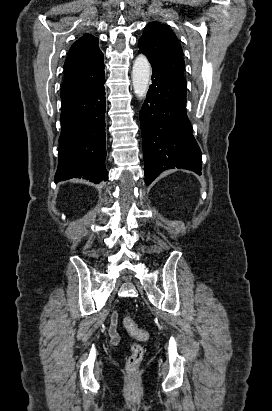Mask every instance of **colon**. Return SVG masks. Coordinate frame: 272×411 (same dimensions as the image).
I'll return each instance as SVG.
<instances>
[{"label":"colon","mask_w":272,"mask_h":411,"mask_svg":"<svg viewBox=\"0 0 272 411\" xmlns=\"http://www.w3.org/2000/svg\"><path fill=\"white\" fill-rule=\"evenodd\" d=\"M123 324L126 330L134 337L147 340L149 334L146 330L138 327L132 318L129 316L124 317ZM144 355L143 347L139 344H132L131 354L126 361V369L129 373L134 374L137 372Z\"/></svg>","instance_id":"1"}]
</instances>
